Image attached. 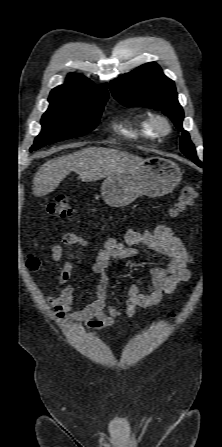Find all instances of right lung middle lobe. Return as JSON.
<instances>
[{"label":"right lung middle lobe","instance_id":"obj_1","mask_svg":"<svg viewBox=\"0 0 222 447\" xmlns=\"http://www.w3.org/2000/svg\"><path fill=\"white\" fill-rule=\"evenodd\" d=\"M107 99L50 94V106L41 119L42 131L30 151L89 133L98 125Z\"/></svg>","mask_w":222,"mask_h":447}]
</instances>
